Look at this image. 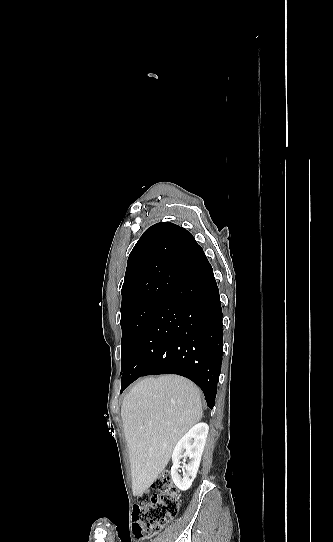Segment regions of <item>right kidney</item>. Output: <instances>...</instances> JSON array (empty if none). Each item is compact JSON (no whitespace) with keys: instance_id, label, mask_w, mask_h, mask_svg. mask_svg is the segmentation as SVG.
<instances>
[{"instance_id":"1","label":"right kidney","mask_w":333,"mask_h":542,"mask_svg":"<svg viewBox=\"0 0 333 542\" xmlns=\"http://www.w3.org/2000/svg\"><path fill=\"white\" fill-rule=\"evenodd\" d=\"M208 432L209 426L204 424V422L195 424V426L179 440L173 450L171 478L175 486H177L179 490H182V492L189 490L190 486H192V482H194L196 478ZM181 458H189L188 464L180 466ZM179 468H184V470H186L183 478L178 474Z\"/></svg>"}]
</instances>
